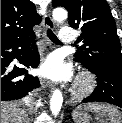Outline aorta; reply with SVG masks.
<instances>
[{
  "label": "aorta",
  "instance_id": "1",
  "mask_svg": "<svg viewBox=\"0 0 122 123\" xmlns=\"http://www.w3.org/2000/svg\"><path fill=\"white\" fill-rule=\"evenodd\" d=\"M53 18L56 21H63L67 18V11L64 8H56L53 11ZM63 95L60 90H55L50 99V110L54 116H57L61 110Z\"/></svg>",
  "mask_w": 122,
  "mask_h": 123
}]
</instances>
